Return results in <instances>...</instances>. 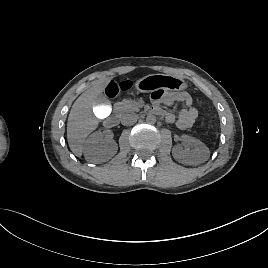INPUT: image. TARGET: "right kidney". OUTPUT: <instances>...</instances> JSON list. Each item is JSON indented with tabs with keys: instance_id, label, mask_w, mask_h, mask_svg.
I'll use <instances>...</instances> for the list:
<instances>
[{
	"instance_id": "obj_1",
	"label": "right kidney",
	"mask_w": 268,
	"mask_h": 268,
	"mask_svg": "<svg viewBox=\"0 0 268 268\" xmlns=\"http://www.w3.org/2000/svg\"><path fill=\"white\" fill-rule=\"evenodd\" d=\"M118 150L117 143L108 139L103 140V133L96 131L92 133L84 144V156L88 162L102 163L112 158Z\"/></svg>"
}]
</instances>
